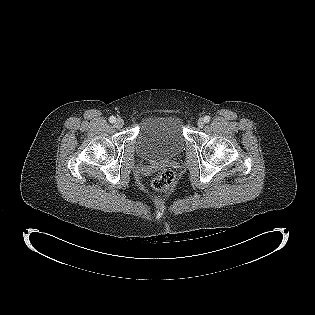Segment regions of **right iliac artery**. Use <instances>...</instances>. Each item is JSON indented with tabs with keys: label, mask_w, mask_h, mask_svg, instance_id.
Listing matches in <instances>:
<instances>
[{
	"label": "right iliac artery",
	"mask_w": 315,
	"mask_h": 315,
	"mask_svg": "<svg viewBox=\"0 0 315 315\" xmlns=\"http://www.w3.org/2000/svg\"><path fill=\"white\" fill-rule=\"evenodd\" d=\"M116 121V118L114 117V116H111L110 118H109V122L110 123H114Z\"/></svg>",
	"instance_id": "1"
}]
</instances>
